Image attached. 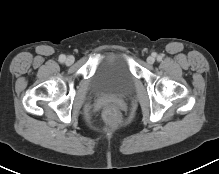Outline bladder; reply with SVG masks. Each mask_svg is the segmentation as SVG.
I'll return each mask as SVG.
<instances>
[{
    "mask_svg": "<svg viewBox=\"0 0 219 174\" xmlns=\"http://www.w3.org/2000/svg\"><path fill=\"white\" fill-rule=\"evenodd\" d=\"M135 76L125 52L108 53L99 63L92 86L97 93L127 96L133 89Z\"/></svg>",
    "mask_w": 219,
    "mask_h": 174,
    "instance_id": "obj_1",
    "label": "bladder"
}]
</instances>
